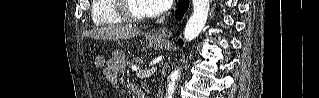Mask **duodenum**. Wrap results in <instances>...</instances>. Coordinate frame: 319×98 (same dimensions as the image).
I'll return each instance as SVG.
<instances>
[{"label":"duodenum","instance_id":"410a0bca","mask_svg":"<svg viewBox=\"0 0 319 98\" xmlns=\"http://www.w3.org/2000/svg\"><path fill=\"white\" fill-rule=\"evenodd\" d=\"M137 98H146L145 95L137 88L133 89Z\"/></svg>","mask_w":319,"mask_h":98}]
</instances>
